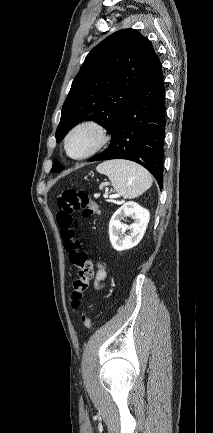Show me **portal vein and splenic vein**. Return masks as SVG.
<instances>
[{
  "instance_id": "portal-vein-and-splenic-vein-1",
  "label": "portal vein and splenic vein",
  "mask_w": 213,
  "mask_h": 433,
  "mask_svg": "<svg viewBox=\"0 0 213 433\" xmlns=\"http://www.w3.org/2000/svg\"><path fill=\"white\" fill-rule=\"evenodd\" d=\"M105 197L107 198L108 195H105ZM114 197H117V196H114V195L110 196V198H114Z\"/></svg>"
}]
</instances>
